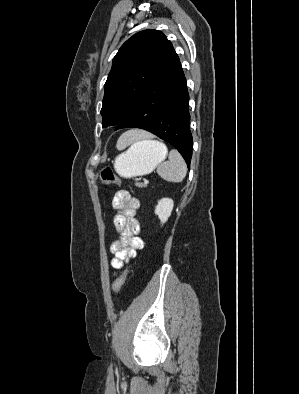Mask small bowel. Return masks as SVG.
Instances as JSON below:
<instances>
[{
    "label": "small bowel",
    "mask_w": 299,
    "mask_h": 394,
    "mask_svg": "<svg viewBox=\"0 0 299 394\" xmlns=\"http://www.w3.org/2000/svg\"><path fill=\"white\" fill-rule=\"evenodd\" d=\"M112 207L115 210L113 223L119 239L110 245L113 254L111 266L119 270L144 246L143 240L139 237L140 225L136 219L140 202L128 191L120 190L113 197Z\"/></svg>",
    "instance_id": "1"
}]
</instances>
